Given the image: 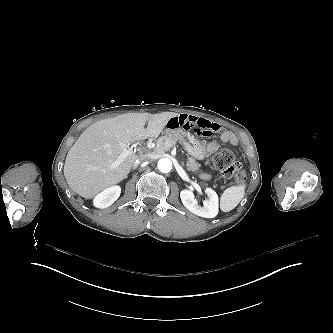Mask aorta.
<instances>
[{"mask_svg":"<svg viewBox=\"0 0 333 333\" xmlns=\"http://www.w3.org/2000/svg\"><path fill=\"white\" fill-rule=\"evenodd\" d=\"M158 169L162 173H168L172 169V161L168 158H162L158 161Z\"/></svg>","mask_w":333,"mask_h":333,"instance_id":"762f6f07","label":"aorta"}]
</instances>
